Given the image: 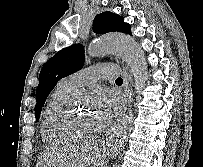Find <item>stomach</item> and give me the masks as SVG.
<instances>
[{"label":"stomach","mask_w":203,"mask_h":167,"mask_svg":"<svg viewBox=\"0 0 203 167\" xmlns=\"http://www.w3.org/2000/svg\"><path fill=\"white\" fill-rule=\"evenodd\" d=\"M94 160L93 161V167H97V165L101 162V159H102V154H101V151L98 150V152L95 154L94 156Z\"/></svg>","instance_id":"obj_1"}]
</instances>
